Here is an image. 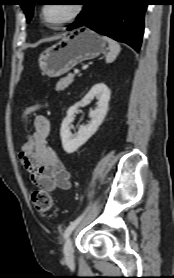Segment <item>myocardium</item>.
<instances>
[{
	"mask_svg": "<svg viewBox=\"0 0 174 278\" xmlns=\"http://www.w3.org/2000/svg\"><path fill=\"white\" fill-rule=\"evenodd\" d=\"M44 7L45 5H42L40 7V10H39V17L41 19V21L43 22V24L51 29H60L62 28L63 26L73 22L75 19H77L79 17V15L82 13L83 11V4L81 3H76V4H73V11L71 12V14L66 18L64 19L63 21L57 23V24H49L45 18H44V14H43V10H44Z\"/></svg>",
	"mask_w": 174,
	"mask_h": 278,
	"instance_id": "1",
	"label": "myocardium"
}]
</instances>
